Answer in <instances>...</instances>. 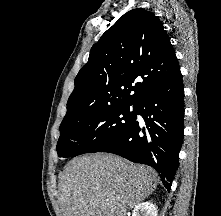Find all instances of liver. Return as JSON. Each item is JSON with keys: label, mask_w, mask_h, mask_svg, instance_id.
<instances>
[{"label": "liver", "mask_w": 221, "mask_h": 216, "mask_svg": "<svg viewBox=\"0 0 221 216\" xmlns=\"http://www.w3.org/2000/svg\"><path fill=\"white\" fill-rule=\"evenodd\" d=\"M157 186L155 172L111 154L72 159L59 175L63 216H126Z\"/></svg>", "instance_id": "1"}]
</instances>
